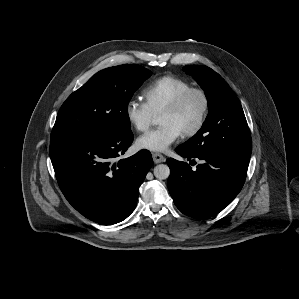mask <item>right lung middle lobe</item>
Returning <instances> with one entry per match:
<instances>
[{"label":"right lung middle lobe","instance_id":"dd1d6c3e","mask_svg":"<svg viewBox=\"0 0 299 299\" xmlns=\"http://www.w3.org/2000/svg\"><path fill=\"white\" fill-rule=\"evenodd\" d=\"M151 74L137 64L99 71L63 103L51 134L97 136L131 131L128 103Z\"/></svg>","mask_w":299,"mask_h":299}]
</instances>
